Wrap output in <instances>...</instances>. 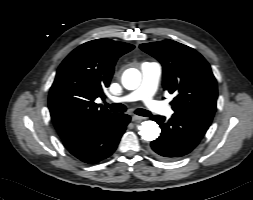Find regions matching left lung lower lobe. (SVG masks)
<instances>
[{"instance_id": "obj_1", "label": "left lung lower lobe", "mask_w": 253, "mask_h": 200, "mask_svg": "<svg viewBox=\"0 0 253 200\" xmlns=\"http://www.w3.org/2000/svg\"><path fill=\"white\" fill-rule=\"evenodd\" d=\"M161 129L159 138L151 142V152L162 159H175L190 153L203 138L210 125L181 114L153 116Z\"/></svg>"}]
</instances>
